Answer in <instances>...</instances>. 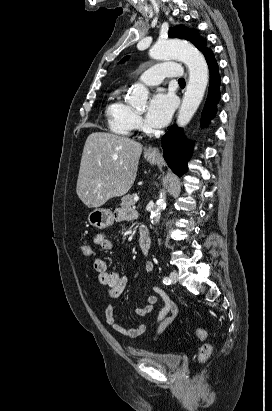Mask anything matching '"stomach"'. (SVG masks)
Masks as SVG:
<instances>
[{
    "mask_svg": "<svg viewBox=\"0 0 272 411\" xmlns=\"http://www.w3.org/2000/svg\"><path fill=\"white\" fill-rule=\"evenodd\" d=\"M145 157L151 164H155L158 161L157 157L149 154H146ZM88 222L96 228L104 229L114 223V216L109 209L95 208L88 214Z\"/></svg>",
    "mask_w": 272,
    "mask_h": 411,
    "instance_id": "0dacf381",
    "label": "stomach"
}]
</instances>
